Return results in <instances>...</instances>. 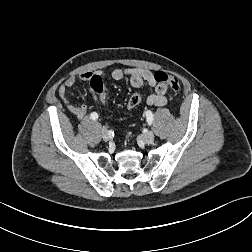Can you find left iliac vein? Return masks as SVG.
<instances>
[{"label": "left iliac vein", "instance_id": "obj_1", "mask_svg": "<svg viewBox=\"0 0 252 252\" xmlns=\"http://www.w3.org/2000/svg\"><path fill=\"white\" fill-rule=\"evenodd\" d=\"M140 140L145 144H151L154 141V134L148 131L140 136Z\"/></svg>", "mask_w": 252, "mask_h": 252}]
</instances>
